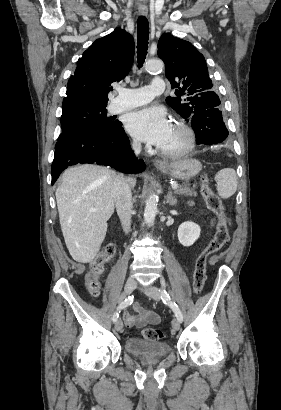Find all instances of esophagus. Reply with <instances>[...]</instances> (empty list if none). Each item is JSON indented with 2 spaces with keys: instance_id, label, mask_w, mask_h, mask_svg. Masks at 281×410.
<instances>
[{
  "instance_id": "1",
  "label": "esophagus",
  "mask_w": 281,
  "mask_h": 410,
  "mask_svg": "<svg viewBox=\"0 0 281 410\" xmlns=\"http://www.w3.org/2000/svg\"><path fill=\"white\" fill-rule=\"evenodd\" d=\"M139 13L143 16H146L148 14V10L147 9H139ZM154 165L156 167H164V166L167 165V162L162 161V160H155Z\"/></svg>"
}]
</instances>
